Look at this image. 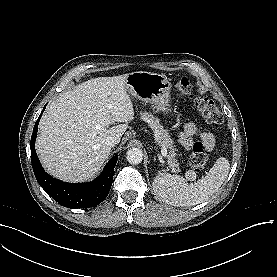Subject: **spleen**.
<instances>
[{"mask_svg":"<svg viewBox=\"0 0 277 277\" xmlns=\"http://www.w3.org/2000/svg\"><path fill=\"white\" fill-rule=\"evenodd\" d=\"M230 170L228 159L220 157L205 177L188 184L179 175L161 173L154 177L153 190L158 198L175 206H194L209 199L227 178Z\"/></svg>","mask_w":277,"mask_h":277,"instance_id":"obj_1","label":"spleen"}]
</instances>
